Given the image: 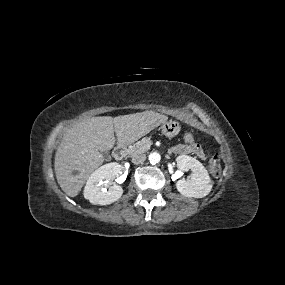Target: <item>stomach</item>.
Instances as JSON below:
<instances>
[{
    "mask_svg": "<svg viewBox=\"0 0 285 285\" xmlns=\"http://www.w3.org/2000/svg\"><path fill=\"white\" fill-rule=\"evenodd\" d=\"M161 131L167 137H174L180 131V125L175 120H170L168 122H164L161 126Z\"/></svg>",
    "mask_w": 285,
    "mask_h": 285,
    "instance_id": "1",
    "label": "stomach"
}]
</instances>
